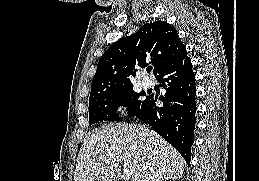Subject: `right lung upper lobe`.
<instances>
[{"instance_id":"1","label":"right lung upper lobe","mask_w":259,"mask_h":181,"mask_svg":"<svg viewBox=\"0 0 259 181\" xmlns=\"http://www.w3.org/2000/svg\"><path fill=\"white\" fill-rule=\"evenodd\" d=\"M186 52L176 29L165 21L143 25L135 34L118 40L101 56L92 80L90 98L119 88L133 87L135 64L147 61L158 75L167 65Z\"/></svg>"}]
</instances>
